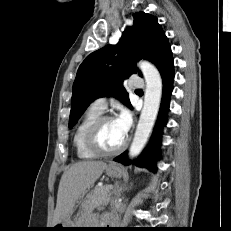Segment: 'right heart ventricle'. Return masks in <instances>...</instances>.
<instances>
[{"label":"right heart ventricle","mask_w":231,"mask_h":231,"mask_svg":"<svg viewBox=\"0 0 231 231\" xmlns=\"http://www.w3.org/2000/svg\"><path fill=\"white\" fill-rule=\"evenodd\" d=\"M101 116V112L90 107L81 120L77 124L73 134V145L76 151V155L82 160H92L97 157V154L93 153L86 145L85 137L88 128L91 124Z\"/></svg>","instance_id":"right-heart-ventricle-1"}]
</instances>
